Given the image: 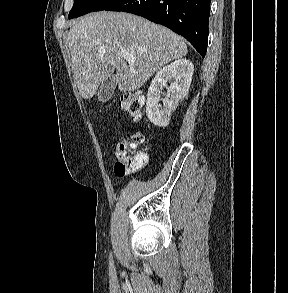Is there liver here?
Returning a JSON list of instances; mask_svg holds the SVG:
<instances>
[{"instance_id":"1","label":"liver","mask_w":288,"mask_h":293,"mask_svg":"<svg viewBox=\"0 0 288 293\" xmlns=\"http://www.w3.org/2000/svg\"><path fill=\"white\" fill-rule=\"evenodd\" d=\"M67 44L73 77L84 99L93 97L114 70L119 90L131 92L188 52L183 39L170 29L137 15L110 11L90 13L74 23ZM122 52L135 60L125 61L119 56Z\"/></svg>"}]
</instances>
